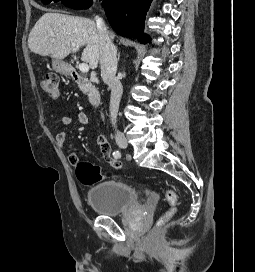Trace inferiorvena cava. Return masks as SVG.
Here are the masks:
<instances>
[{"label":"inferior vena cava","mask_w":255,"mask_h":272,"mask_svg":"<svg viewBox=\"0 0 255 272\" xmlns=\"http://www.w3.org/2000/svg\"><path fill=\"white\" fill-rule=\"evenodd\" d=\"M96 26L99 34L100 43V68L101 77L105 84L111 90L110 96V119L114 127L117 123V115L119 105L123 93V88L120 80L116 78L117 71V49L112 43L109 32L100 17H96Z\"/></svg>","instance_id":"602c4592"}]
</instances>
